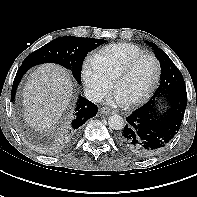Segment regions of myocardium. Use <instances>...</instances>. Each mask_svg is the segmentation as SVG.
<instances>
[{
    "label": "myocardium",
    "mask_w": 197,
    "mask_h": 197,
    "mask_svg": "<svg viewBox=\"0 0 197 197\" xmlns=\"http://www.w3.org/2000/svg\"><path fill=\"white\" fill-rule=\"evenodd\" d=\"M144 59H152L155 62L156 75H155L154 81L146 93H144L143 95H141L140 97L136 99L126 102L127 106H136V105L144 103L154 94V92L156 91L158 87L160 76H161V64H160L159 59L155 55L148 54V53L135 57L128 64H126L123 68H121L116 74V76L114 77V86L116 87L119 80L128 76L135 69V67Z\"/></svg>",
    "instance_id": "myocardium-1"
}]
</instances>
